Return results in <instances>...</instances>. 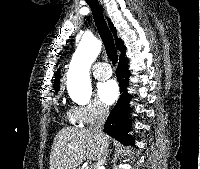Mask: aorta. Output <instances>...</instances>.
Wrapping results in <instances>:
<instances>
[{"instance_id": "1", "label": "aorta", "mask_w": 200, "mask_h": 169, "mask_svg": "<svg viewBox=\"0 0 200 169\" xmlns=\"http://www.w3.org/2000/svg\"><path fill=\"white\" fill-rule=\"evenodd\" d=\"M101 51V42L85 34L78 44L67 72V88L77 102H87L92 95L90 67Z\"/></svg>"}]
</instances>
